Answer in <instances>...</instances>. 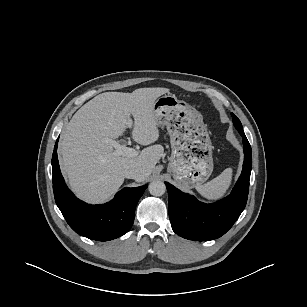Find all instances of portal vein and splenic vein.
Wrapping results in <instances>:
<instances>
[{"mask_svg":"<svg viewBox=\"0 0 307 307\" xmlns=\"http://www.w3.org/2000/svg\"><path fill=\"white\" fill-rule=\"evenodd\" d=\"M132 125H133V121L129 119L128 127L131 128ZM104 142L112 145L115 148L116 155H122V156H127V157H136L138 155V152L135 149L127 147L126 145H120L115 140L105 139Z\"/></svg>","mask_w":307,"mask_h":307,"instance_id":"18ae733b","label":"portal vein and splenic vein"}]
</instances>
